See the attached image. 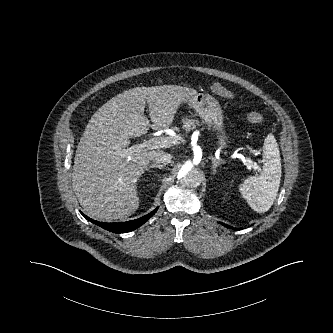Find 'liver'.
Segmentation results:
<instances>
[{
    "mask_svg": "<svg viewBox=\"0 0 333 333\" xmlns=\"http://www.w3.org/2000/svg\"><path fill=\"white\" fill-rule=\"evenodd\" d=\"M196 90L177 85L135 87L107 101L89 120L78 144L72 187L92 218L110 222L127 218L139 207L137 181L160 150L134 152L130 138L167 129L177 108ZM149 107L150 125L144 116Z\"/></svg>",
    "mask_w": 333,
    "mask_h": 333,
    "instance_id": "1",
    "label": "liver"
}]
</instances>
